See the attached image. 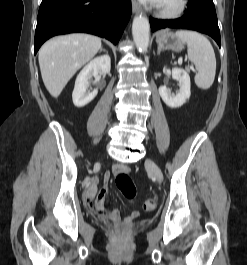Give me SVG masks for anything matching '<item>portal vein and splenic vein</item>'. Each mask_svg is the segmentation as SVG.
Segmentation results:
<instances>
[{"instance_id": "obj_1", "label": "portal vein and splenic vein", "mask_w": 247, "mask_h": 265, "mask_svg": "<svg viewBox=\"0 0 247 265\" xmlns=\"http://www.w3.org/2000/svg\"><path fill=\"white\" fill-rule=\"evenodd\" d=\"M180 63H182V58H180ZM191 69H193V67H191Z\"/></svg>"}]
</instances>
